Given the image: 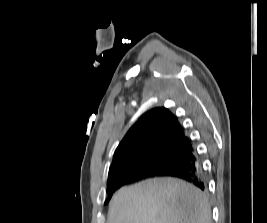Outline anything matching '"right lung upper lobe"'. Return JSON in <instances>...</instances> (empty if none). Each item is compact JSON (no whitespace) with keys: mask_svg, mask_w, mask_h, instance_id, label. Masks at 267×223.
<instances>
[{"mask_svg":"<svg viewBox=\"0 0 267 223\" xmlns=\"http://www.w3.org/2000/svg\"><path fill=\"white\" fill-rule=\"evenodd\" d=\"M166 146L185 151L191 146L184 128L168 109L154 108L143 114L118 145L109 169V179L126 172V165L157 154Z\"/></svg>","mask_w":267,"mask_h":223,"instance_id":"obj_1","label":"right lung upper lobe"}]
</instances>
